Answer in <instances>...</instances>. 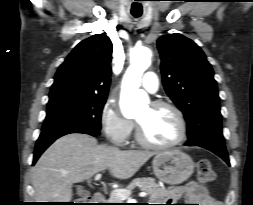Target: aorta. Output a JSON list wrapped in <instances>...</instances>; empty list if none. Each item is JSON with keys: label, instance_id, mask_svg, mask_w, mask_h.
<instances>
[{"label": "aorta", "instance_id": "1", "mask_svg": "<svg viewBox=\"0 0 253 205\" xmlns=\"http://www.w3.org/2000/svg\"><path fill=\"white\" fill-rule=\"evenodd\" d=\"M152 51L148 47H136L130 54V66L122 80L120 108L124 117L130 118L149 103L144 90L139 89L141 77L151 64Z\"/></svg>", "mask_w": 253, "mask_h": 205}]
</instances>
